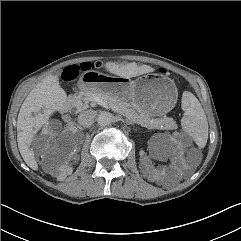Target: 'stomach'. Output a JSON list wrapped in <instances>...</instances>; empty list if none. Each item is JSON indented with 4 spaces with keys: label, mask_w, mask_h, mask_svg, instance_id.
<instances>
[{
    "label": "stomach",
    "mask_w": 241,
    "mask_h": 241,
    "mask_svg": "<svg viewBox=\"0 0 241 241\" xmlns=\"http://www.w3.org/2000/svg\"><path fill=\"white\" fill-rule=\"evenodd\" d=\"M94 80L81 77L79 87L130 100L137 108L154 116L165 115L176 105L178 89L167 75L150 73L135 80L121 76L102 75Z\"/></svg>",
    "instance_id": "1"
}]
</instances>
